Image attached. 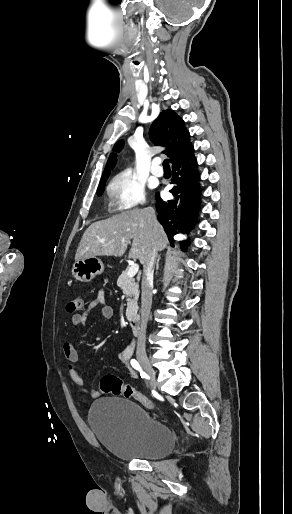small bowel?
<instances>
[{
  "label": "small bowel",
  "mask_w": 292,
  "mask_h": 514,
  "mask_svg": "<svg viewBox=\"0 0 292 514\" xmlns=\"http://www.w3.org/2000/svg\"><path fill=\"white\" fill-rule=\"evenodd\" d=\"M98 310L100 316L104 320H110L114 317V309L108 304L105 294L103 291H99L94 299L90 302L88 309L83 313H76L71 316V324L74 327L82 326L90 312ZM63 354L67 363V374L75 387L80 391H85L91 398H98L100 392L94 389H87L85 387L83 375L75 368V363L78 361V352L74 345L69 342H65L63 345ZM130 353L128 350H124L120 355V360L125 364H129ZM130 377L135 379L137 374L135 370L129 369Z\"/></svg>",
  "instance_id": "obj_1"
}]
</instances>
